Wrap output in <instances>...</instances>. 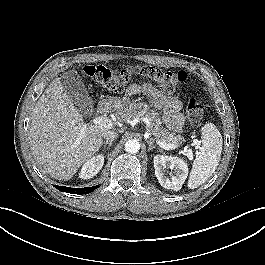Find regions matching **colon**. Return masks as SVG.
<instances>
[{"mask_svg": "<svg viewBox=\"0 0 265 265\" xmlns=\"http://www.w3.org/2000/svg\"><path fill=\"white\" fill-rule=\"evenodd\" d=\"M82 74L101 85L109 92L122 93L134 80H145L157 84L167 93H179L187 80L183 71L171 72L152 66H134L114 71L104 65L87 64ZM205 108L195 97H190L186 115L189 122L198 126L202 123Z\"/></svg>", "mask_w": 265, "mask_h": 265, "instance_id": "colon-1", "label": "colon"}]
</instances>
